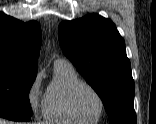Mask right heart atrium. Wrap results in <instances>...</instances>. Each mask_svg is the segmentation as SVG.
<instances>
[{
    "label": "right heart atrium",
    "mask_w": 156,
    "mask_h": 124,
    "mask_svg": "<svg viewBox=\"0 0 156 124\" xmlns=\"http://www.w3.org/2000/svg\"><path fill=\"white\" fill-rule=\"evenodd\" d=\"M42 72L38 71L33 77L26 93L28 105L35 115L44 114V93L42 90Z\"/></svg>",
    "instance_id": "obj_1"
}]
</instances>
